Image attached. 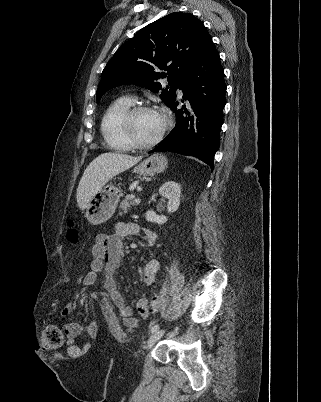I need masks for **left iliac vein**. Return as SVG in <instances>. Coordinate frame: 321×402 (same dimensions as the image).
Wrapping results in <instances>:
<instances>
[{
    "label": "left iliac vein",
    "instance_id": "left-iliac-vein-1",
    "mask_svg": "<svg viewBox=\"0 0 321 402\" xmlns=\"http://www.w3.org/2000/svg\"><path fill=\"white\" fill-rule=\"evenodd\" d=\"M164 333H165V330H164V329L155 331V332L149 337V339H148V341H147V343H146L145 348H146V349H151V348L155 345V343H156L158 340H160V339L162 338V336L164 335Z\"/></svg>",
    "mask_w": 321,
    "mask_h": 402
}]
</instances>
